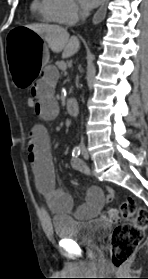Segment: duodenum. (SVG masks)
<instances>
[{"label":"duodenum","mask_w":148,"mask_h":279,"mask_svg":"<svg viewBox=\"0 0 148 279\" xmlns=\"http://www.w3.org/2000/svg\"><path fill=\"white\" fill-rule=\"evenodd\" d=\"M66 108L70 115L77 116L79 114L78 101L74 98H68L66 101Z\"/></svg>","instance_id":"obj_1"}]
</instances>
